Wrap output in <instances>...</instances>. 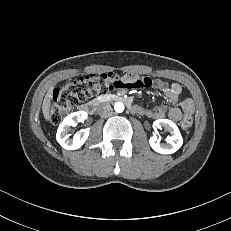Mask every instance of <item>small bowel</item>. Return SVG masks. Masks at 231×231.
Masks as SVG:
<instances>
[{"label": "small bowel", "mask_w": 231, "mask_h": 231, "mask_svg": "<svg viewBox=\"0 0 231 231\" xmlns=\"http://www.w3.org/2000/svg\"><path fill=\"white\" fill-rule=\"evenodd\" d=\"M136 78H138V76L134 74H125L122 79H119V84H116V89H121V84H124V82L125 87H131V89H136V87H143V82H129ZM147 85H152V80H147ZM153 86L165 95L169 103L172 105L178 103L182 93V88L179 84H168L160 79H157L154 81ZM193 111L194 103L191 99L187 98L182 100L179 103V106H172L167 108L165 105H158L149 111H144L142 108H139V111L137 112H145L147 115L154 119H160L167 115L173 121H178L183 114H191Z\"/></svg>", "instance_id": "1"}]
</instances>
